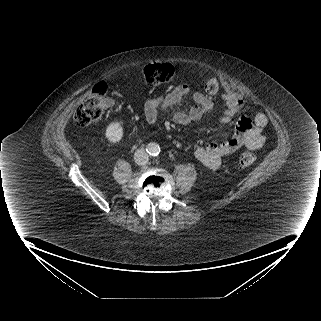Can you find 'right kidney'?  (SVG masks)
Here are the masks:
<instances>
[{
	"label": "right kidney",
	"instance_id": "ca27d5eb",
	"mask_svg": "<svg viewBox=\"0 0 321 321\" xmlns=\"http://www.w3.org/2000/svg\"><path fill=\"white\" fill-rule=\"evenodd\" d=\"M104 136L110 143L119 142L123 136L122 125L119 122H111L106 128Z\"/></svg>",
	"mask_w": 321,
	"mask_h": 321
}]
</instances>
